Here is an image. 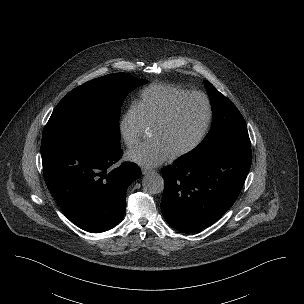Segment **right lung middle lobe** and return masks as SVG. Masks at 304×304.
Listing matches in <instances>:
<instances>
[{
  "mask_svg": "<svg viewBox=\"0 0 304 304\" xmlns=\"http://www.w3.org/2000/svg\"><path fill=\"white\" fill-rule=\"evenodd\" d=\"M147 81L114 73L70 91L56 106L42 135L41 146L80 140L120 149L119 110L124 98Z\"/></svg>",
  "mask_w": 304,
  "mask_h": 304,
  "instance_id": "right-lung-middle-lobe-1",
  "label": "right lung middle lobe"
}]
</instances>
